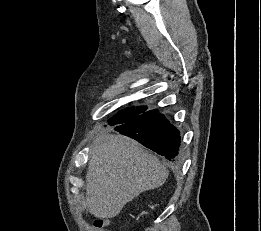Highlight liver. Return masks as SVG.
Masks as SVG:
<instances>
[{
    "label": "liver",
    "instance_id": "6515ba94",
    "mask_svg": "<svg viewBox=\"0 0 261 231\" xmlns=\"http://www.w3.org/2000/svg\"><path fill=\"white\" fill-rule=\"evenodd\" d=\"M168 177L159 159L126 136L96 138L86 175V205L96 218L109 219L140 193L158 188Z\"/></svg>",
    "mask_w": 261,
    "mask_h": 231
}]
</instances>
